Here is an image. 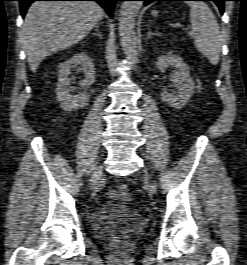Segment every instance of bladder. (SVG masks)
<instances>
[{
	"label": "bladder",
	"instance_id": "31cf9c89",
	"mask_svg": "<svg viewBox=\"0 0 247 265\" xmlns=\"http://www.w3.org/2000/svg\"><path fill=\"white\" fill-rule=\"evenodd\" d=\"M143 223L141 213L128 205L112 204L98 210L92 223L93 234L101 239H112L134 234Z\"/></svg>",
	"mask_w": 247,
	"mask_h": 265
}]
</instances>
